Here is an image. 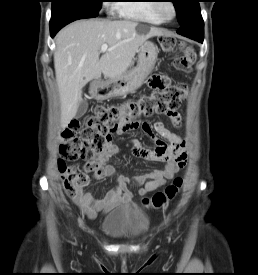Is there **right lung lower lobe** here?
<instances>
[{"instance_id":"1","label":"right lung lower lobe","mask_w":258,"mask_h":275,"mask_svg":"<svg viewBox=\"0 0 258 275\" xmlns=\"http://www.w3.org/2000/svg\"><path fill=\"white\" fill-rule=\"evenodd\" d=\"M83 18H93L90 15L86 14H77V13H68V14H61L57 16H52L50 21V34L51 37H54L55 34L65 25L68 23L83 19Z\"/></svg>"}]
</instances>
